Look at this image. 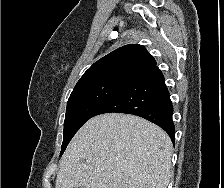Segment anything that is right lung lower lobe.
Wrapping results in <instances>:
<instances>
[{
	"label": "right lung lower lobe",
	"instance_id": "1",
	"mask_svg": "<svg viewBox=\"0 0 224 188\" xmlns=\"http://www.w3.org/2000/svg\"><path fill=\"white\" fill-rule=\"evenodd\" d=\"M110 112L143 117L164 129L174 143L173 107L164 76L156 65L132 79L102 105L94 116Z\"/></svg>",
	"mask_w": 224,
	"mask_h": 188
}]
</instances>
